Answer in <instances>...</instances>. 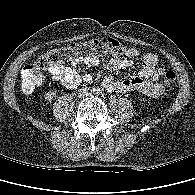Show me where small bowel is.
Here are the masks:
<instances>
[{"label": "small bowel", "mask_w": 195, "mask_h": 195, "mask_svg": "<svg viewBox=\"0 0 195 195\" xmlns=\"http://www.w3.org/2000/svg\"><path fill=\"white\" fill-rule=\"evenodd\" d=\"M142 59V67L136 76L123 80H115L112 76H106L103 85L116 93L137 91L152 98H158L163 93V86L157 81L164 75L165 70L158 68V57L152 53H142L136 48H128L125 56L112 55L103 63L108 71H118L133 65V58ZM84 64L88 68L98 67L101 61L97 56H78L71 61L69 66L55 65L49 68L53 79L65 87L74 89L82 82L91 83L93 76L89 73L81 74L78 66Z\"/></svg>", "instance_id": "obj_1"}]
</instances>
